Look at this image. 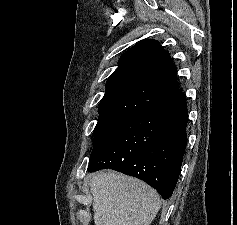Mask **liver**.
<instances>
[{
    "label": "liver",
    "mask_w": 237,
    "mask_h": 225,
    "mask_svg": "<svg viewBox=\"0 0 237 225\" xmlns=\"http://www.w3.org/2000/svg\"><path fill=\"white\" fill-rule=\"evenodd\" d=\"M95 225H150L161 208L155 189L114 172H100L90 182Z\"/></svg>",
    "instance_id": "6515ba94"
}]
</instances>
